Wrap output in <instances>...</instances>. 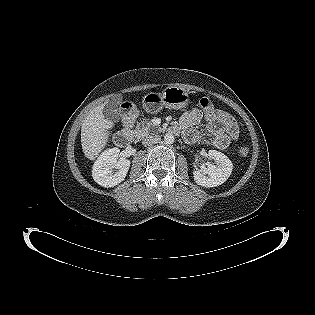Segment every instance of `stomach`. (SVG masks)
<instances>
[{
	"label": "stomach",
	"instance_id": "0dacf381",
	"mask_svg": "<svg viewBox=\"0 0 315 315\" xmlns=\"http://www.w3.org/2000/svg\"><path fill=\"white\" fill-rule=\"evenodd\" d=\"M188 92L176 86L167 87L162 93L149 94L145 99V109L150 113L158 112L162 107L170 109H181L188 105ZM120 116L131 120L137 116L138 108L134 102L126 101L120 105Z\"/></svg>",
	"mask_w": 315,
	"mask_h": 315
}]
</instances>
